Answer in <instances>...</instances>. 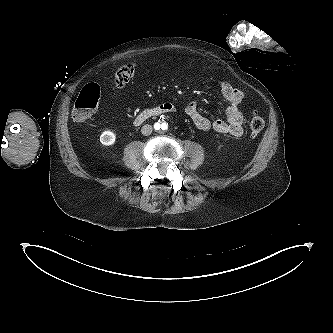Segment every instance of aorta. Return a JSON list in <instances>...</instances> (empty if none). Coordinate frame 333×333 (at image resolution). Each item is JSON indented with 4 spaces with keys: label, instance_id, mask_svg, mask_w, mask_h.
<instances>
[{
    "label": "aorta",
    "instance_id": "obj_1",
    "mask_svg": "<svg viewBox=\"0 0 333 333\" xmlns=\"http://www.w3.org/2000/svg\"><path fill=\"white\" fill-rule=\"evenodd\" d=\"M155 130L158 132V133H164L165 131H167L168 129V124L166 122H156L155 125Z\"/></svg>",
    "mask_w": 333,
    "mask_h": 333
}]
</instances>
